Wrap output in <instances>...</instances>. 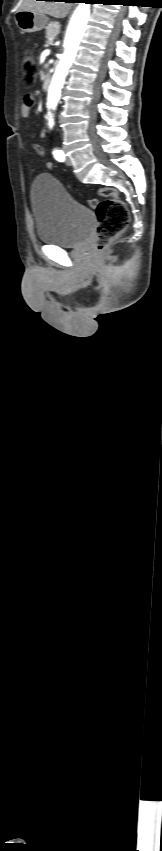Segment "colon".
I'll use <instances>...</instances> for the list:
<instances>
[{"label": "colon", "instance_id": "obj_1", "mask_svg": "<svg viewBox=\"0 0 162 851\" xmlns=\"http://www.w3.org/2000/svg\"><path fill=\"white\" fill-rule=\"evenodd\" d=\"M24 82L33 85L37 76V66L33 55L26 51L23 57ZM103 200H90V206L95 210L98 226L94 245L97 250L104 249L109 242L122 233L129 224L130 215L126 204L119 198L117 191L111 187L99 190Z\"/></svg>", "mask_w": 162, "mask_h": 851}]
</instances>
